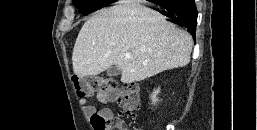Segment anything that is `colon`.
<instances>
[{"mask_svg": "<svg viewBox=\"0 0 257 130\" xmlns=\"http://www.w3.org/2000/svg\"><path fill=\"white\" fill-rule=\"evenodd\" d=\"M73 84L77 95L81 98L98 93L115 99L121 107V114L126 117H134L140 110V90L136 83L126 84L118 89L112 78L74 76ZM91 124L94 130H130L125 127L120 117L100 112L91 115Z\"/></svg>", "mask_w": 257, "mask_h": 130, "instance_id": "obj_1", "label": "colon"}]
</instances>
